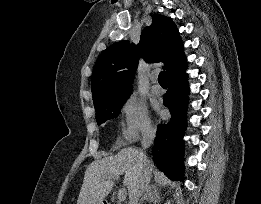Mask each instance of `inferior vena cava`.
Wrapping results in <instances>:
<instances>
[{"label": "inferior vena cava", "instance_id": "inferior-vena-cava-1", "mask_svg": "<svg viewBox=\"0 0 261 204\" xmlns=\"http://www.w3.org/2000/svg\"><path fill=\"white\" fill-rule=\"evenodd\" d=\"M155 132H156L155 129L151 128L148 129L143 135V139L141 141V145H142L141 153L143 156L144 174L140 183L137 185L136 189L130 195L129 204H138L140 196L148 188V183L150 180V169L148 165L149 162L145 154V150L152 145L155 138Z\"/></svg>", "mask_w": 261, "mask_h": 204}]
</instances>
